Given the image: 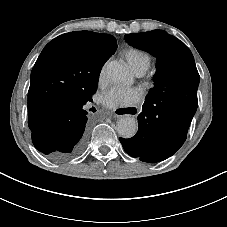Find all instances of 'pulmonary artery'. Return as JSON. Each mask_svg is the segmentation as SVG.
<instances>
[{
  "mask_svg": "<svg viewBox=\"0 0 227 227\" xmlns=\"http://www.w3.org/2000/svg\"><path fill=\"white\" fill-rule=\"evenodd\" d=\"M134 73L136 76H141L143 74L141 71H135Z\"/></svg>",
  "mask_w": 227,
  "mask_h": 227,
  "instance_id": "pulmonary-artery-1",
  "label": "pulmonary artery"
}]
</instances>
